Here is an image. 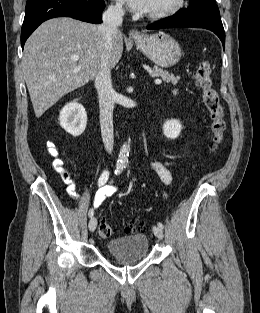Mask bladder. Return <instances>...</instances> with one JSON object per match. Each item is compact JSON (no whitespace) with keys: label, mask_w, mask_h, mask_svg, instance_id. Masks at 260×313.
<instances>
[{"label":"bladder","mask_w":260,"mask_h":313,"mask_svg":"<svg viewBox=\"0 0 260 313\" xmlns=\"http://www.w3.org/2000/svg\"><path fill=\"white\" fill-rule=\"evenodd\" d=\"M107 253L121 264H135L147 257L149 240L143 233L132 234L110 240Z\"/></svg>","instance_id":"bladder-1"}]
</instances>
